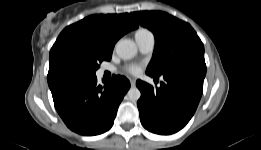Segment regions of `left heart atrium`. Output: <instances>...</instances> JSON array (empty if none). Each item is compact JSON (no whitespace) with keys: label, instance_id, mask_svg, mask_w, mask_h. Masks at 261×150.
I'll list each match as a JSON object with an SVG mask.
<instances>
[{"label":"left heart atrium","instance_id":"left-heart-atrium-1","mask_svg":"<svg viewBox=\"0 0 261 150\" xmlns=\"http://www.w3.org/2000/svg\"><path fill=\"white\" fill-rule=\"evenodd\" d=\"M127 71L131 74H137L140 71V67L136 64L129 65Z\"/></svg>","mask_w":261,"mask_h":150}]
</instances>
